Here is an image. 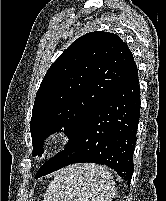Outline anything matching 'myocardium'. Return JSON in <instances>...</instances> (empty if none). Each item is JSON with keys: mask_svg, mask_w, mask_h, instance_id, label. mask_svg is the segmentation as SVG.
Segmentation results:
<instances>
[{"mask_svg": "<svg viewBox=\"0 0 166 201\" xmlns=\"http://www.w3.org/2000/svg\"><path fill=\"white\" fill-rule=\"evenodd\" d=\"M65 140L66 137L64 136V134H62L61 132H54L48 137L45 146L46 148L54 149L62 145Z\"/></svg>", "mask_w": 166, "mask_h": 201, "instance_id": "obj_1", "label": "myocardium"}]
</instances>
